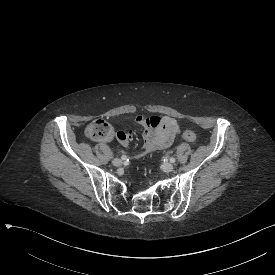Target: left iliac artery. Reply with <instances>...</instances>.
Here are the masks:
<instances>
[{
    "mask_svg": "<svg viewBox=\"0 0 275 275\" xmlns=\"http://www.w3.org/2000/svg\"><path fill=\"white\" fill-rule=\"evenodd\" d=\"M170 162L171 163H175L176 162V158L175 157L170 158Z\"/></svg>",
    "mask_w": 275,
    "mask_h": 275,
    "instance_id": "left-iliac-artery-1",
    "label": "left iliac artery"
}]
</instances>
